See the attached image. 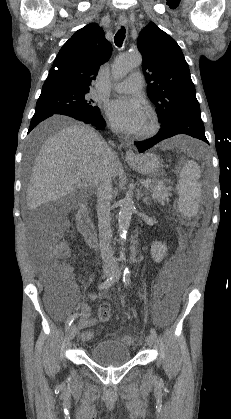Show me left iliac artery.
Listing matches in <instances>:
<instances>
[{
    "mask_svg": "<svg viewBox=\"0 0 231 419\" xmlns=\"http://www.w3.org/2000/svg\"><path fill=\"white\" fill-rule=\"evenodd\" d=\"M123 282H124V286H125V287H128V286H129V284H130V282H131V279H130V271H129V269H128L127 267H126V268H125V270H124V274H123ZM150 333H151V335H152L154 338H156V337H157V333H156V330H155L154 328H151Z\"/></svg>",
    "mask_w": 231,
    "mask_h": 419,
    "instance_id": "1",
    "label": "left iliac artery"
}]
</instances>
